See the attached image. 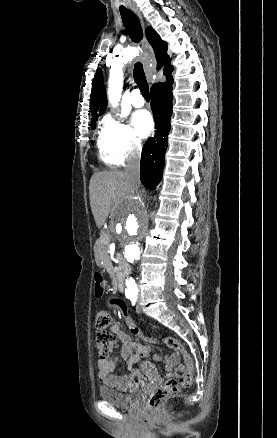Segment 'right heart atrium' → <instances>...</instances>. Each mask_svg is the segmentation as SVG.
<instances>
[{
	"label": "right heart atrium",
	"mask_w": 277,
	"mask_h": 438,
	"mask_svg": "<svg viewBox=\"0 0 277 438\" xmlns=\"http://www.w3.org/2000/svg\"><path fill=\"white\" fill-rule=\"evenodd\" d=\"M114 146L122 160L138 155L142 142L132 127L124 121H114L108 126Z\"/></svg>",
	"instance_id": "1"
}]
</instances>
